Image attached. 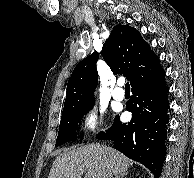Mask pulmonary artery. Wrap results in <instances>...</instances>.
Listing matches in <instances>:
<instances>
[{
	"mask_svg": "<svg viewBox=\"0 0 194 178\" xmlns=\"http://www.w3.org/2000/svg\"><path fill=\"white\" fill-rule=\"evenodd\" d=\"M122 82L118 83V86L114 89L112 96L117 101H122L124 99V91L122 89Z\"/></svg>",
	"mask_w": 194,
	"mask_h": 178,
	"instance_id": "1",
	"label": "pulmonary artery"
}]
</instances>
